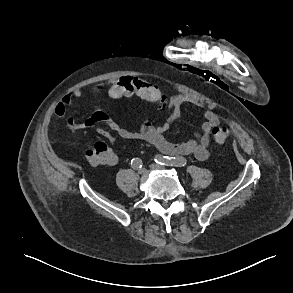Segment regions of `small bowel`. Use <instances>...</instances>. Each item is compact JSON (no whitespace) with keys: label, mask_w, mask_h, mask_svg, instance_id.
Listing matches in <instances>:
<instances>
[{"label":"small bowel","mask_w":293,"mask_h":293,"mask_svg":"<svg viewBox=\"0 0 293 293\" xmlns=\"http://www.w3.org/2000/svg\"><path fill=\"white\" fill-rule=\"evenodd\" d=\"M106 89L108 96L111 99L129 98L132 96H140L141 90H147L157 94L155 100H149L145 97L141 98L158 102L163 107L167 108L169 113L162 125L155 126L150 121H144L138 130L132 131L121 126L112 116L103 111L94 112L86 121L79 122L73 116H66V106H68L74 98L81 97L84 93L83 88H76L72 92L67 93L62 100L56 104L54 113L59 118H65L66 124L70 129L80 130L86 127H91L109 143L116 142L117 137L124 140L145 141L157 147L161 152L168 155H192L199 161H206L209 156V146L211 141V131L215 127L219 118L212 111L204 112V122L201 127V132L195 135L194 139L184 142L174 143L167 139L166 135L170 131L172 125L178 121L182 115V108L185 104L198 106L187 95L176 93L168 97L161 93L157 86L146 82L139 78L120 77L116 80L105 84H98L91 88L92 93H100ZM117 163V157L108 166H114Z\"/></svg>","instance_id":"obj_1"}]
</instances>
